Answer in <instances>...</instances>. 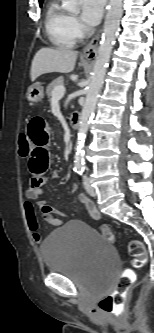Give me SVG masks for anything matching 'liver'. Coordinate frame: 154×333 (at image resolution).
I'll return each instance as SVG.
<instances>
[{
    "label": "liver",
    "instance_id": "obj_1",
    "mask_svg": "<svg viewBox=\"0 0 154 333\" xmlns=\"http://www.w3.org/2000/svg\"><path fill=\"white\" fill-rule=\"evenodd\" d=\"M78 52L66 47L42 48L34 56L31 80L47 73H69L74 70Z\"/></svg>",
    "mask_w": 154,
    "mask_h": 333
}]
</instances>
